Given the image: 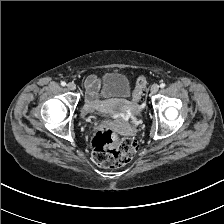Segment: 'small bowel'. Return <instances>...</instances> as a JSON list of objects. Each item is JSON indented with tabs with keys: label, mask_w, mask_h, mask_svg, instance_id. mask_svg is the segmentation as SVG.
Here are the masks:
<instances>
[{
	"label": "small bowel",
	"mask_w": 224,
	"mask_h": 224,
	"mask_svg": "<svg viewBox=\"0 0 224 224\" xmlns=\"http://www.w3.org/2000/svg\"><path fill=\"white\" fill-rule=\"evenodd\" d=\"M100 87H101L100 79L97 76L91 75L86 79L85 81L86 101H87L86 111L92 110L96 102Z\"/></svg>",
	"instance_id": "obj_1"
}]
</instances>
